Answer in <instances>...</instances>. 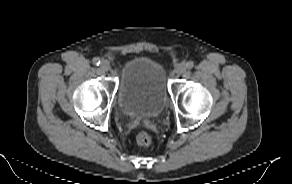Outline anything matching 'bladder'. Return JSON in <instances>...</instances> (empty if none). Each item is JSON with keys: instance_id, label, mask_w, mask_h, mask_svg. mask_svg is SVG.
<instances>
[{"instance_id": "31cf9c89", "label": "bladder", "mask_w": 292, "mask_h": 184, "mask_svg": "<svg viewBox=\"0 0 292 184\" xmlns=\"http://www.w3.org/2000/svg\"><path fill=\"white\" fill-rule=\"evenodd\" d=\"M169 92L166 72L157 61L135 57L121 69L117 102L128 117H156L166 107Z\"/></svg>"}]
</instances>
